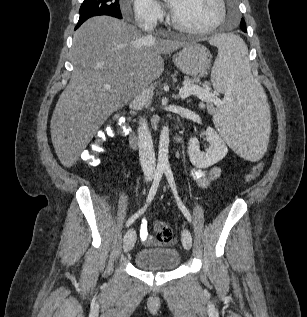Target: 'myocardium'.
<instances>
[{
	"label": "myocardium",
	"instance_id": "1",
	"mask_svg": "<svg viewBox=\"0 0 307 317\" xmlns=\"http://www.w3.org/2000/svg\"><path fill=\"white\" fill-rule=\"evenodd\" d=\"M218 6H219V15L215 22L205 28H190L187 27L183 24H181L173 15L171 12L170 14V24L173 28H175L178 31L191 34V35H207L215 31L225 20L226 13H227V8H226V3L225 0H217Z\"/></svg>",
	"mask_w": 307,
	"mask_h": 317
}]
</instances>
